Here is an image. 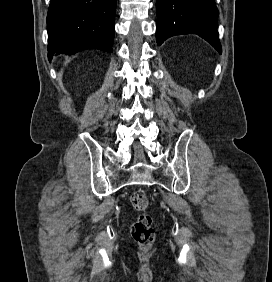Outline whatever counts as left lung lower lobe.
Wrapping results in <instances>:
<instances>
[{
    "instance_id": "0a47b994",
    "label": "left lung lower lobe",
    "mask_w": 272,
    "mask_h": 282,
    "mask_svg": "<svg viewBox=\"0 0 272 282\" xmlns=\"http://www.w3.org/2000/svg\"><path fill=\"white\" fill-rule=\"evenodd\" d=\"M156 7L158 45L173 35L195 33L222 53L215 0H157Z\"/></svg>"
}]
</instances>
